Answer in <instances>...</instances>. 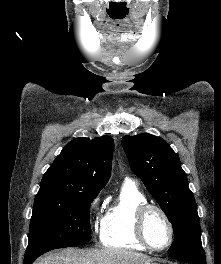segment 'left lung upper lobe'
<instances>
[{
  "instance_id": "1",
  "label": "left lung upper lobe",
  "mask_w": 221,
  "mask_h": 264,
  "mask_svg": "<svg viewBox=\"0 0 221 264\" xmlns=\"http://www.w3.org/2000/svg\"><path fill=\"white\" fill-rule=\"evenodd\" d=\"M121 143L132 171L172 223L170 253L202 250L196 202L178 155L162 138L147 133L124 136Z\"/></svg>"
}]
</instances>
